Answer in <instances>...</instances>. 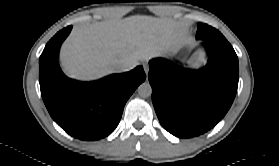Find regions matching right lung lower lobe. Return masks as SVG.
<instances>
[{"instance_id": "1", "label": "right lung lower lobe", "mask_w": 279, "mask_h": 166, "mask_svg": "<svg viewBox=\"0 0 279 166\" xmlns=\"http://www.w3.org/2000/svg\"><path fill=\"white\" fill-rule=\"evenodd\" d=\"M71 29L59 31L40 56L41 94L50 115L67 133L82 140L101 139L115 130L128 98L146 75L138 66L90 83L67 78L59 67L58 51Z\"/></svg>"}]
</instances>
